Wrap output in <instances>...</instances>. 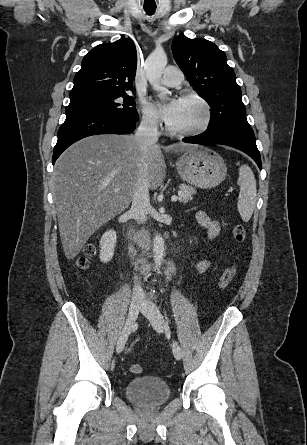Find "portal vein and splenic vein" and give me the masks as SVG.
Returning <instances> with one entry per match:
<instances>
[{"mask_svg": "<svg viewBox=\"0 0 307 445\" xmlns=\"http://www.w3.org/2000/svg\"><path fill=\"white\" fill-rule=\"evenodd\" d=\"M114 190H119V188H114ZM178 196H171L172 202H175L177 200Z\"/></svg>", "mask_w": 307, "mask_h": 445, "instance_id": "obj_1", "label": "portal vein and splenic vein"}]
</instances>
